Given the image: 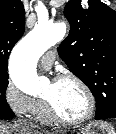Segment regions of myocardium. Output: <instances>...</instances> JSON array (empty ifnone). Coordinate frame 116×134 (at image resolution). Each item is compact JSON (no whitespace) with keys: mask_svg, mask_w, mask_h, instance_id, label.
Wrapping results in <instances>:
<instances>
[{"mask_svg":"<svg viewBox=\"0 0 116 134\" xmlns=\"http://www.w3.org/2000/svg\"><path fill=\"white\" fill-rule=\"evenodd\" d=\"M61 81H72L76 83L85 93L86 98H87V110L86 112L79 118L77 119H69L67 117H64L61 115L53 106L50 100L47 98H44V103L46 105V108L48 110L49 115L51 116L52 119L55 121L65 124V125H71V126H76V125H81L88 121L92 115L94 114L95 111V97L89 86L80 78H78L75 75L72 74H64L56 77L53 82H61Z\"/></svg>","mask_w":116,"mask_h":134,"instance_id":"1","label":"myocardium"}]
</instances>
